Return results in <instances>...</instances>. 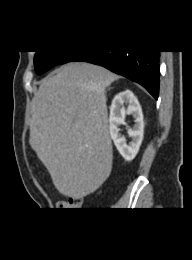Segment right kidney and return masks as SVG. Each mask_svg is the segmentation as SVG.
<instances>
[{
    "mask_svg": "<svg viewBox=\"0 0 192 260\" xmlns=\"http://www.w3.org/2000/svg\"><path fill=\"white\" fill-rule=\"evenodd\" d=\"M124 104L127 108L124 107ZM125 114L134 117V126L128 130L131 142L126 143L124 136L120 134L119 126L124 123ZM110 136L122 157L126 161L134 159L140 148L144 134V121L141 106L130 90L123 91L116 95L110 107L109 117Z\"/></svg>",
    "mask_w": 192,
    "mask_h": 260,
    "instance_id": "obj_1",
    "label": "right kidney"
}]
</instances>
